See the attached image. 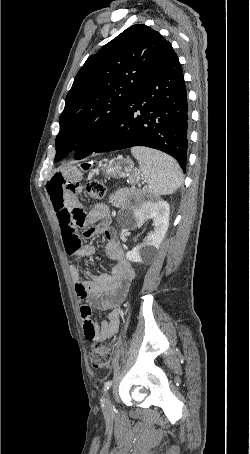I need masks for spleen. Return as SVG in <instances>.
<instances>
[{"instance_id": "3e777b00", "label": "spleen", "mask_w": 250, "mask_h": 454, "mask_svg": "<svg viewBox=\"0 0 250 454\" xmlns=\"http://www.w3.org/2000/svg\"><path fill=\"white\" fill-rule=\"evenodd\" d=\"M131 153L139 163L150 194L169 195L180 187L183 177L175 159L145 147H133Z\"/></svg>"}]
</instances>
